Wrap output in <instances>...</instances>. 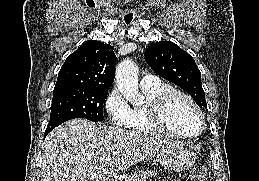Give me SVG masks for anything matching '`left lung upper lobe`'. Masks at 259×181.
I'll list each match as a JSON object with an SVG mask.
<instances>
[{
    "label": "left lung upper lobe",
    "mask_w": 259,
    "mask_h": 181,
    "mask_svg": "<svg viewBox=\"0 0 259 181\" xmlns=\"http://www.w3.org/2000/svg\"><path fill=\"white\" fill-rule=\"evenodd\" d=\"M144 56L154 72L189 93L199 106H206L201 72L190 54L170 41H161L150 45Z\"/></svg>",
    "instance_id": "left-lung-upper-lobe-1"
}]
</instances>
